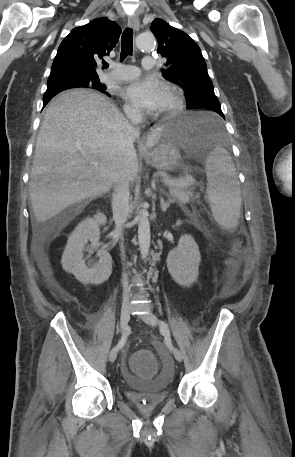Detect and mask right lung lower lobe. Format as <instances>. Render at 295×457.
I'll list each match as a JSON object with an SVG mask.
<instances>
[{"mask_svg":"<svg viewBox=\"0 0 295 457\" xmlns=\"http://www.w3.org/2000/svg\"><path fill=\"white\" fill-rule=\"evenodd\" d=\"M47 90L52 89V90H65L69 88H76V87H82V85H74L73 83L69 82H55V83H50L47 84ZM101 92L105 93L106 95L110 96L109 93H107L105 90H101ZM44 106L48 103V101H44Z\"/></svg>","mask_w":295,"mask_h":457,"instance_id":"1","label":"right lung lower lobe"}]
</instances>
